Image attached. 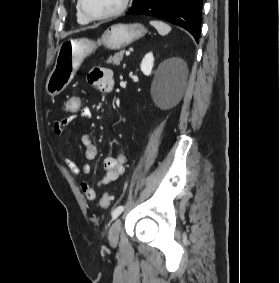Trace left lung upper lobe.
Segmentation results:
<instances>
[{
	"label": "left lung upper lobe",
	"instance_id": "left-lung-upper-lobe-1",
	"mask_svg": "<svg viewBox=\"0 0 280 283\" xmlns=\"http://www.w3.org/2000/svg\"><path fill=\"white\" fill-rule=\"evenodd\" d=\"M136 2V0H133V4Z\"/></svg>",
	"mask_w": 280,
	"mask_h": 283
}]
</instances>
